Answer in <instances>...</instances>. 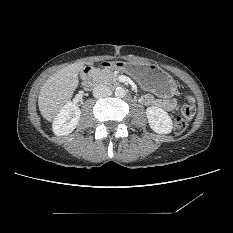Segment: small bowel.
Returning a JSON list of instances; mask_svg holds the SVG:
<instances>
[{
  "mask_svg": "<svg viewBox=\"0 0 233 233\" xmlns=\"http://www.w3.org/2000/svg\"><path fill=\"white\" fill-rule=\"evenodd\" d=\"M139 101L143 105H152L155 107L163 108L171 111L176 107V100L174 99H158L151 94H143L140 96Z\"/></svg>",
  "mask_w": 233,
  "mask_h": 233,
  "instance_id": "obj_1",
  "label": "small bowel"
}]
</instances>
